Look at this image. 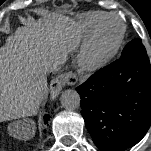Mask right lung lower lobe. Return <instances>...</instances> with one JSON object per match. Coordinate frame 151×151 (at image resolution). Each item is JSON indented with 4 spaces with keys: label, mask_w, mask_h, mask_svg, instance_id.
I'll use <instances>...</instances> for the list:
<instances>
[{
    "label": "right lung lower lobe",
    "mask_w": 151,
    "mask_h": 151,
    "mask_svg": "<svg viewBox=\"0 0 151 151\" xmlns=\"http://www.w3.org/2000/svg\"><path fill=\"white\" fill-rule=\"evenodd\" d=\"M49 120V115H45L44 116V121H45V124H47V121Z\"/></svg>",
    "instance_id": "right-lung-lower-lobe-1"
}]
</instances>
